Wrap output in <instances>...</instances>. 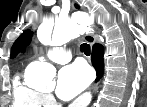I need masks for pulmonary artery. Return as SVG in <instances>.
Masks as SVG:
<instances>
[{
	"label": "pulmonary artery",
	"instance_id": "1",
	"mask_svg": "<svg viewBox=\"0 0 147 107\" xmlns=\"http://www.w3.org/2000/svg\"><path fill=\"white\" fill-rule=\"evenodd\" d=\"M46 55L49 59H51L53 62L59 63V64H64L67 63L71 60V52L59 48V47H53L47 50Z\"/></svg>",
	"mask_w": 147,
	"mask_h": 107
}]
</instances>
